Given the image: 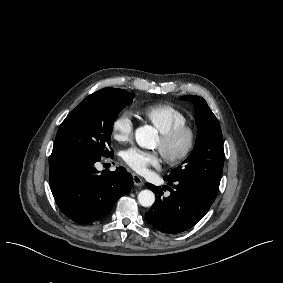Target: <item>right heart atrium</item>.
<instances>
[{"mask_svg":"<svg viewBox=\"0 0 283 283\" xmlns=\"http://www.w3.org/2000/svg\"><path fill=\"white\" fill-rule=\"evenodd\" d=\"M133 122L128 113H121L111 123L110 135L118 143L129 142L133 137Z\"/></svg>","mask_w":283,"mask_h":283,"instance_id":"1","label":"right heart atrium"}]
</instances>
